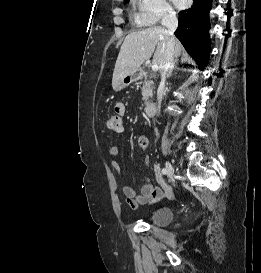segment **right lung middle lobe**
I'll return each mask as SVG.
<instances>
[{"label": "right lung middle lobe", "mask_w": 261, "mask_h": 273, "mask_svg": "<svg viewBox=\"0 0 261 273\" xmlns=\"http://www.w3.org/2000/svg\"><path fill=\"white\" fill-rule=\"evenodd\" d=\"M128 2V0L124 1V4H126Z\"/></svg>", "instance_id": "right-lung-middle-lobe-1"}]
</instances>
